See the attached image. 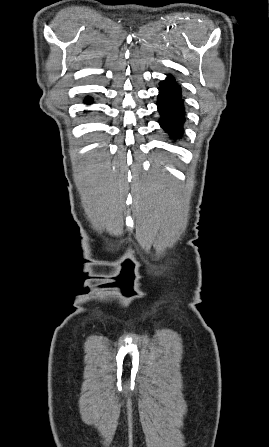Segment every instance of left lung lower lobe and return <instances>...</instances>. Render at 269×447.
<instances>
[{
    "label": "left lung lower lobe",
    "instance_id": "left-lung-lower-lobe-1",
    "mask_svg": "<svg viewBox=\"0 0 269 447\" xmlns=\"http://www.w3.org/2000/svg\"><path fill=\"white\" fill-rule=\"evenodd\" d=\"M157 106L162 116V119H160L161 127L173 139L182 136V124L185 117L181 88L171 75L160 83Z\"/></svg>",
    "mask_w": 269,
    "mask_h": 447
}]
</instances>
